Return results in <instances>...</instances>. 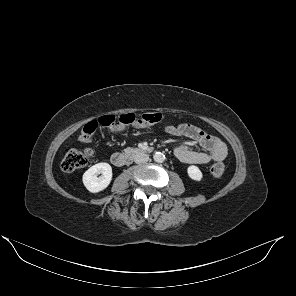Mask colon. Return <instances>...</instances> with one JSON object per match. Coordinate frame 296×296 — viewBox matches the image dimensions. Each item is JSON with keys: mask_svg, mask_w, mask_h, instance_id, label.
Listing matches in <instances>:
<instances>
[{"mask_svg": "<svg viewBox=\"0 0 296 296\" xmlns=\"http://www.w3.org/2000/svg\"><path fill=\"white\" fill-rule=\"evenodd\" d=\"M163 120L161 113H145L135 115L133 113L123 114L119 117L113 115H104L97 120H92L84 125L79 135V139L83 142H89L98 129L106 130L110 133H118L130 128H142L157 124ZM92 155L90 149H71L63 160L62 169L65 172H73L84 167ZM211 174L214 177H221L225 172V166L222 163H215L211 166Z\"/></svg>", "mask_w": 296, "mask_h": 296, "instance_id": "colon-1", "label": "colon"}]
</instances>
